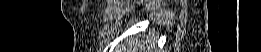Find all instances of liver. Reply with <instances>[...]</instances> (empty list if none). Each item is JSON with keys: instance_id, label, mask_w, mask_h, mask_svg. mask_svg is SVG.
I'll return each instance as SVG.
<instances>
[{"instance_id": "1", "label": "liver", "mask_w": 261, "mask_h": 52, "mask_svg": "<svg viewBox=\"0 0 261 52\" xmlns=\"http://www.w3.org/2000/svg\"><path fill=\"white\" fill-rule=\"evenodd\" d=\"M155 41L156 39L152 36L147 37V39L143 41H140L137 38L136 41L130 39L127 43L125 42L123 44L122 52H150V49L155 50Z\"/></svg>"}]
</instances>
